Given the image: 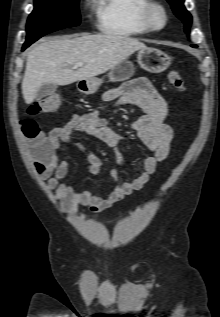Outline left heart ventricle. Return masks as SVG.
<instances>
[{"mask_svg": "<svg viewBox=\"0 0 220 317\" xmlns=\"http://www.w3.org/2000/svg\"><path fill=\"white\" fill-rule=\"evenodd\" d=\"M161 21H162L161 18L158 16V17H157V22H158V24H161Z\"/></svg>", "mask_w": 220, "mask_h": 317, "instance_id": "1", "label": "left heart ventricle"}]
</instances>
